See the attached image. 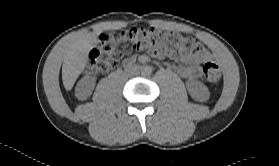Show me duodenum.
<instances>
[{
  "instance_id": "410a0bca",
  "label": "duodenum",
  "mask_w": 279,
  "mask_h": 166,
  "mask_svg": "<svg viewBox=\"0 0 279 166\" xmlns=\"http://www.w3.org/2000/svg\"><path fill=\"white\" fill-rule=\"evenodd\" d=\"M134 64H135V61L132 60V59H126V60L123 61V65H124L125 67H131V66H133Z\"/></svg>"
}]
</instances>
